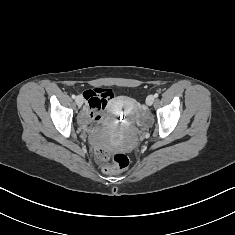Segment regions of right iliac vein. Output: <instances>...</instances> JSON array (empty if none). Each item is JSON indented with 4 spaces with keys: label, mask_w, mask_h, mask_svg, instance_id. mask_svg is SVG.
<instances>
[{
    "label": "right iliac vein",
    "mask_w": 235,
    "mask_h": 235,
    "mask_svg": "<svg viewBox=\"0 0 235 235\" xmlns=\"http://www.w3.org/2000/svg\"><path fill=\"white\" fill-rule=\"evenodd\" d=\"M76 104L81 107L83 105V98L81 96L76 97Z\"/></svg>",
    "instance_id": "obj_1"
}]
</instances>
